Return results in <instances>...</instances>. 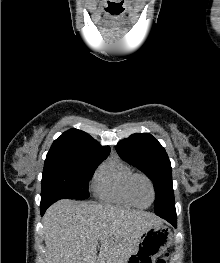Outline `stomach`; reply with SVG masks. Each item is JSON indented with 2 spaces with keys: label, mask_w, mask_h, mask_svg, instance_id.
<instances>
[{
  "label": "stomach",
  "mask_w": 220,
  "mask_h": 263,
  "mask_svg": "<svg viewBox=\"0 0 220 263\" xmlns=\"http://www.w3.org/2000/svg\"><path fill=\"white\" fill-rule=\"evenodd\" d=\"M172 232L163 223L147 229L125 263H155L172 244Z\"/></svg>",
  "instance_id": "0dacf381"
}]
</instances>
